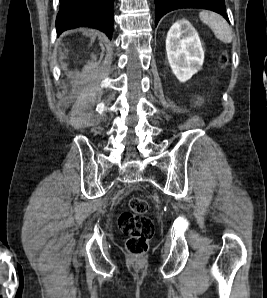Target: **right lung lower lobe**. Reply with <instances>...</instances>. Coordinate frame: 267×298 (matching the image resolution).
<instances>
[{"mask_svg":"<svg viewBox=\"0 0 267 298\" xmlns=\"http://www.w3.org/2000/svg\"><path fill=\"white\" fill-rule=\"evenodd\" d=\"M114 0H60L56 18L57 35L81 26L103 31L110 39L113 33Z\"/></svg>","mask_w":267,"mask_h":298,"instance_id":"obj_1","label":"right lung lower lobe"}]
</instances>
